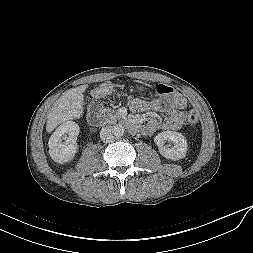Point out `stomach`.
I'll use <instances>...</instances> for the list:
<instances>
[{
	"mask_svg": "<svg viewBox=\"0 0 253 253\" xmlns=\"http://www.w3.org/2000/svg\"><path fill=\"white\" fill-rule=\"evenodd\" d=\"M137 89L139 91H143V90H145V87L143 85H139V86H137Z\"/></svg>",
	"mask_w": 253,
	"mask_h": 253,
	"instance_id": "obj_1",
	"label": "stomach"
}]
</instances>
